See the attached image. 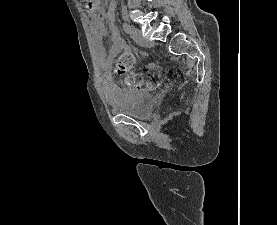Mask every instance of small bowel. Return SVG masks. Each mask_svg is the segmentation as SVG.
Returning a JSON list of instances; mask_svg holds the SVG:
<instances>
[{"label": "small bowel", "mask_w": 277, "mask_h": 225, "mask_svg": "<svg viewBox=\"0 0 277 225\" xmlns=\"http://www.w3.org/2000/svg\"><path fill=\"white\" fill-rule=\"evenodd\" d=\"M115 6L116 4L113 2L110 4L106 17L109 21V29L111 31V45L108 51V54L105 55L104 50L101 46V40L106 34V30L103 26V12H99L98 14L94 9H90L89 11V25L91 34L94 39L96 53L98 58L103 64L108 63L112 60L121 50H127V46L124 43L123 38L118 32L114 20H115ZM103 84V92L108 101L114 102L120 94L119 89L113 84L110 73L106 70L102 79Z\"/></svg>", "instance_id": "small-bowel-1"}]
</instances>
